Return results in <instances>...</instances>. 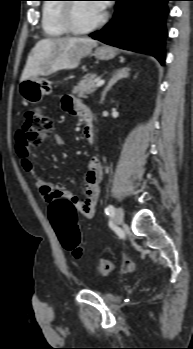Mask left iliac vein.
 Instances as JSON below:
<instances>
[{
	"instance_id": "obj_1",
	"label": "left iliac vein",
	"mask_w": 193,
	"mask_h": 349,
	"mask_svg": "<svg viewBox=\"0 0 193 349\" xmlns=\"http://www.w3.org/2000/svg\"><path fill=\"white\" fill-rule=\"evenodd\" d=\"M115 223L121 225L124 220V211L121 207H118L114 214Z\"/></svg>"
}]
</instances>
